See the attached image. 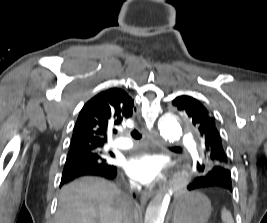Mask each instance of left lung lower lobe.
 I'll list each match as a JSON object with an SVG mask.
<instances>
[{
    "mask_svg": "<svg viewBox=\"0 0 267 223\" xmlns=\"http://www.w3.org/2000/svg\"><path fill=\"white\" fill-rule=\"evenodd\" d=\"M187 182H192L188 186L189 192H204L213 195H230V191L235 187L232 173L223 171L191 173L190 177H187Z\"/></svg>",
    "mask_w": 267,
    "mask_h": 223,
    "instance_id": "obj_1",
    "label": "left lung lower lobe"
}]
</instances>
